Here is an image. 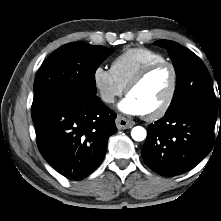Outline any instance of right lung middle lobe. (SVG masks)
Returning <instances> with one entry per match:
<instances>
[{
  "label": "right lung middle lobe",
  "instance_id": "obj_1",
  "mask_svg": "<svg viewBox=\"0 0 221 221\" xmlns=\"http://www.w3.org/2000/svg\"><path fill=\"white\" fill-rule=\"evenodd\" d=\"M111 52L84 42L68 43L55 50L35 78L32 118L64 97L95 98V71Z\"/></svg>",
  "mask_w": 221,
  "mask_h": 221
}]
</instances>
